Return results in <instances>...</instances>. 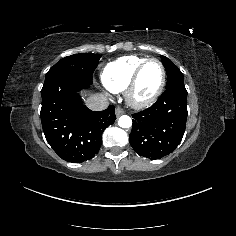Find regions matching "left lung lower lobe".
Returning <instances> with one entry per match:
<instances>
[{"instance_id":"left-lung-lower-lobe-1","label":"left lung lower lobe","mask_w":236,"mask_h":236,"mask_svg":"<svg viewBox=\"0 0 236 236\" xmlns=\"http://www.w3.org/2000/svg\"><path fill=\"white\" fill-rule=\"evenodd\" d=\"M187 115L184 84L167 88L151 107L132 115L131 146L138 155L151 160L172 153L183 138Z\"/></svg>"}]
</instances>
